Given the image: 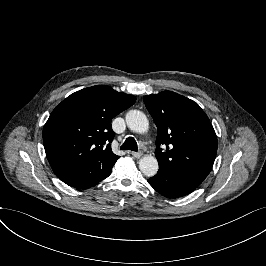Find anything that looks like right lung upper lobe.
I'll list each match as a JSON object with an SVG mask.
<instances>
[{
    "label": "right lung upper lobe",
    "instance_id": "obj_1",
    "mask_svg": "<svg viewBox=\"0 0 266 266\" xmlns=\"http://www.w3.org/2000/svg\"><path fill=\"white\" fill-rule=\"evenodd\" d=\"M135 101L133 95L97 85L71 94L53 110L43 128V144L64 183L77 187L112 170L119 156L111 150V121Z\"/></svg>",
    "mask_w": 266,
    "mask_h": 266
}]
</instances>
